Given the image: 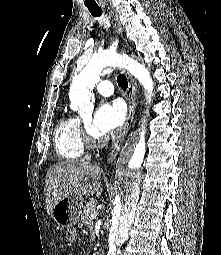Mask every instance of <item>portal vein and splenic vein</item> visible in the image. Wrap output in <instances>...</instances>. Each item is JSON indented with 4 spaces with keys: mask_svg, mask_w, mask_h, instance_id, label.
<instances>
[{
    "mask_svg": "<svg viewBox=\"0 0 221 255\" xmlns=\"http://www.w3.org/2000/svg\"><path fill=\"white\" fill-rule=\"evenodd\" d=\"M92 216H94V217L97 216V211H94Z\"/></svg>",
    "mask_w": 221,
    "mask_h": 255,
    "instance_id": "obj_1",
    "label": "portal vein and splenic vein"
}]
</instances>
